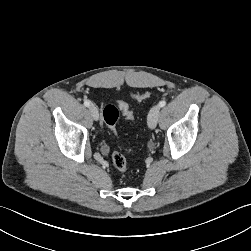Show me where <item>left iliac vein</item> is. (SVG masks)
Wrapping results in <instances>:
<instances>
[{
    "label": "left iliac vein",
    "instance_id": "obj_1",
    "mask_svg": "<svg viewBox=\"0 0 251 251\" xmlns=\"http://www.w3.org/2000/svg\"><path fill=\"white\" fill-rule=\"evenodd\" d=\"M159 113H160L159 105L153 106L150 109L147 117V123L151 129H154L156 127L159 118Z\"/></svg>",
    "mask_w": 251,
    "mask_h": 251
}]
</instances>
